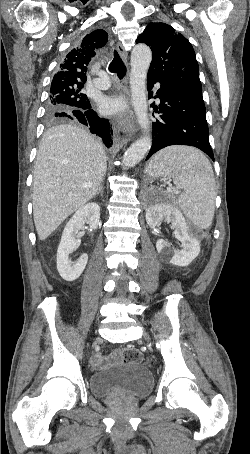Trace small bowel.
Returning <instances> with one entry per match:
<instances>
[{"mask_svg":"<svg viewBox=\"0 0 250 454\" xmlns=\"http://www.w3.org/2000/svg\"><path fill=\"white\" fill-rule=\"evenodd\" d=\"M92 362L94 366L100 367L106 362V358L103 355L97 353L93 356Z\"/></svg>","mask_w":250,"mask_h":454,"instance_id":"1","label":"small bowel"}]
</instances>
